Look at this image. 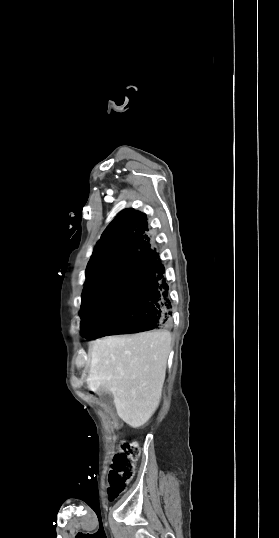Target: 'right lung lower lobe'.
I'll return each mask as SVG.
<instances>
[{
    "mask_svg": "<svg viewBox=\"0 0 279 538\" xmlns=\"http://www.w3.org/2000/svg\"><path fill=\"white\" fill-rule=\"evenodd\" d=\"M164 273L146 214L122 211L102 233L86 269L82 336L169 329L172 306Z\"/></svg>",
    "mask_w": 279,
    "mask_h": 538,
    "instance_id": "right-lung-lower-lobe-1",
    "label": "right lung lower lobe"
}]
</instances>
